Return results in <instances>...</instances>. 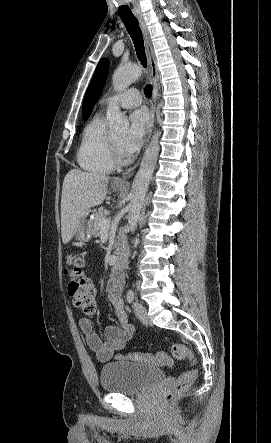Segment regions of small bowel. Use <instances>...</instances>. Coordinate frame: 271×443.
Returning <instances> with one entry per match:
<instances>
[{
    "mask_svg": "<svg viewBox=\"0 0 271 443\" xmlns=\"http://www.w3.org/2000/svg\"><path fill=\"white\" fill-rule=\"evenodd\" d=\"M122 288L123 279L121 277H112L108 282L107 294L118 325H109L105 328L104 340L96 333L93 322L89 318H82L79 321V327L85 335L87 346L100 361H108L115 353L123 350L133 334V326L129 323L121 298Z\"/></svg>",
    "mask_w": 271,
    "mask_h": 443,
    "instance_id": "obj_1",
    "label": "small bowel"
}]
</instances>
